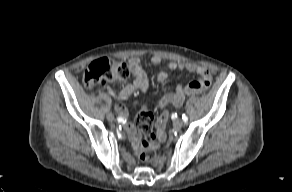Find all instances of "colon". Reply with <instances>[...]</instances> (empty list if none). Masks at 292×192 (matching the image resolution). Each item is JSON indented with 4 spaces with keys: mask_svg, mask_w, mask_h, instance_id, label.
Listing matches in <instances>:
<instances>
[{
    "mask_svg": "<svg viewBox=\"0 0 292 192\" xmlns=\"http://www.w3.org/2000/svg\"><path fill=\"white\" fill-rule=\"evenodd\" d=\"M129 75L130 70L125 63L101 58L89 64L84 71L83 79L88 87H92L103 86L107 83H120L126 80ZM153 119V111L147 105H144L137 115L138 127L144 133L142 147L139 151V158L143 163H150L156 157V142L153 141V133L150 132Z\"/></svg>",
    "mask_w": 292,
    "mask_h": 192,
    "instance_id": "obj_1",
    "label": "colon"
}]
</instances>
